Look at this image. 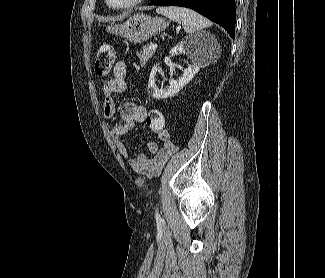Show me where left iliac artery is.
Masks as SVG:
<instances>
[{"label":"left iliac artery","instance_id":"1","mask_svg":"<svg viewBox=\"0 0 325 278\" xmlns=\"http://www.w3.org/2000/svg\"><path fill=\"white\" fill-rule=\"evenodd\" d=\"M155 218H156V221H162V218L158 212V208H156V212H155Z\"/></svg>","mask_w":325,"mask_h":278}]
</instances>
